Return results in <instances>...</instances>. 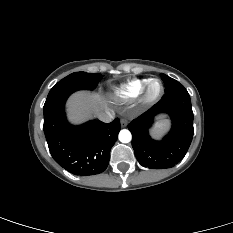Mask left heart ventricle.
<instances>
[{
  "label": "left heart ventricle",
  "instance_id": "1",
  "mask_svg": "<svg viewBox=\"0 0 233 233\" xmlns=\"http://www.w3.org/2000/svg\"><path fill=\"white\" fill-rule=\"evenodd\" d=\"M159 90V85L158 84H154L151 87V93H156Z\"/></svg>",
  "mask_w": 233,
  "mask_h": 233
}]
</instances>
